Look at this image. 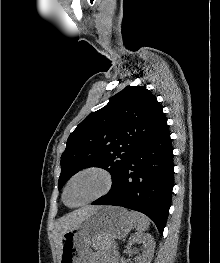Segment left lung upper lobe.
Listing matches in <instances>:
<instances>
[{
    "mask_svg": "<svg viewBox=\"0 0 220 263\" xmlns=\"http://www.w3.org/2000/svg\"><path fill=\"white\" fill-rule=\"evenodd\" d=\"M164 119L159 102L149 90L125 87L106 106L89 114L68 137L61 157L59 190L72 175L87 167L106 169L114 184L137 145Z\"/></svg>",
    "mask_w": 220,
    "mask_h": 263,
    "instance_id": "5c2ea615",
    "label": "left lung upper lobe"
}]
</instances>
